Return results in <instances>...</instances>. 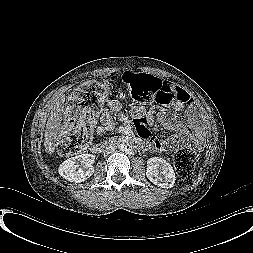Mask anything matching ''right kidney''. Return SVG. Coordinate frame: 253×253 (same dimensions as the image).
Masks as SVG:
<instances>
[{
    "label": "right kidney",
    "mask_w": 253,
    "mask_h": 253,
    "mask_svg": "<svg viewBox=\"0 0 253 253\" xmlns=\"http://www.w3.org/2000/svg\"><path fill=\"white\" fill-rule=\"evenodd\" d=\"M95 156L81 153L65 160L58 168L59 174L70 182H83L94 173Z\"/></svg>",
    "instance_id": "1"
}]
</instances>
